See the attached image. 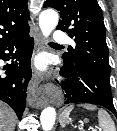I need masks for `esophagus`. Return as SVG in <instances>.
I'll list each match as a JSON object with an SVG mask.
<instances>
[{"mask_svg": "<svg viewBox=\"0 0 117 131\" xmlns=\"http://www.w3.org/2000/svg\"><path fill=\"white\" fill-rule=\"evenodd\" d=\"M44 40L41 35H38L35 40L34 54L43 50ZM44 80V77L34 72L32 76V86L30 88V103L37 108H41L49 103V100L56 97L59 93L57 87L50 83L40 84Z\"/></svg>", "mask_w": 117, "mask_h": 131, "instance_id": "obj_1", "label": "esophagus"}]
</instances>
